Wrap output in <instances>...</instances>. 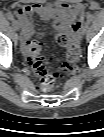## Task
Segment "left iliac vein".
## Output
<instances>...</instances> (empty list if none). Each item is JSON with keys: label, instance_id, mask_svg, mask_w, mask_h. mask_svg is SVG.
Listing matches in <instances>:
<instances>
[{"label": "left iliac vein", "instance_id": "obj_1", "mask_svg": "<svg viewBox=\"0 0 104 137\" xmlns=\"http://www.w3.org/2000/svg\"><path fill=\"white\" fill-rule=\"evenodd\" d=\"M88 30V23L85 22L82 27H81V31H80V35L83 36Z\"/></svg>", "mask_w": 104, "mask_h": 137}]
</instances>
